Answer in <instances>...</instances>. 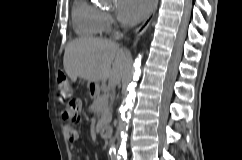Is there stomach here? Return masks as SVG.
<instances>
[{
	"label": "stomach",
	"mask_w": 242,
	"mask_h": 160,
	"mask_svg": "<svg viewBox=\"0 0 242 160\" xmlns=\"http://www.w3.org/2000/svg\"><path fill=\"white\" fill-rule=\"evenodd\" d=\"M87 85H88L90 94H92L93 96H96L99 93L100 87L98 82L88 81Z\"/></svg>",
	"instance_id": "stomach-1"
}]
</instances>
